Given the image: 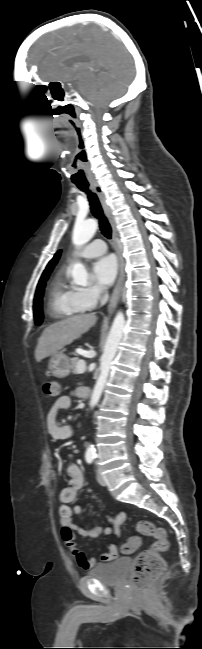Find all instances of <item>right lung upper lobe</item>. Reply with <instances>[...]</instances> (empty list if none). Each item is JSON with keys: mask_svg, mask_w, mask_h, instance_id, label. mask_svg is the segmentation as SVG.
<instances>
[{"mask_svg": "<svg viewBox=\"0 0 202 649\" xmlns=\"http://www.w3.org/2000/svg\"><path fill=\"white\" fill-rule=\"evenodd\" d=\"M60 253H61V251H58V252L54 255V257L52 258V260H50V262L48 263V265H47L46 269L44 270L43 274H45L46 272L52 271L53 267L56 265V263H57V261H58V259H59V257H60ZM43 274H42V275H43Z\"/></svg>", "mask_w": 202, "mask_h": 649, "instance_id": "right-lung-upper-lobe-1", "label": "right lung upper lobe"}]
</instances>
